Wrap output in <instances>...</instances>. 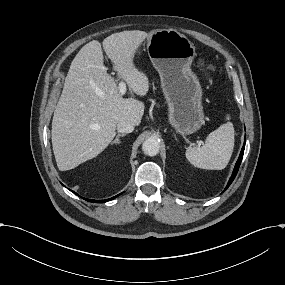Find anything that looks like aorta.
<instances>
[{
	"instance_id": "aorta-1",
	"label": "aorta",
	"mask_w": 285,
	"mask_h": 285,
	"mask_svg": "<svg viewBox=\"0 0 285 285\" xmlns=\"http://www.w3.org/2000/svg\"><path fill=\"white\" fill-rule=\"evenodd\" d=\"M160 144L157 138L150 137L146 139L142 144V150L144 154L148 156H155L159 153Z\"/></svg>"
}]
</instances>
